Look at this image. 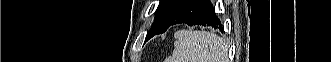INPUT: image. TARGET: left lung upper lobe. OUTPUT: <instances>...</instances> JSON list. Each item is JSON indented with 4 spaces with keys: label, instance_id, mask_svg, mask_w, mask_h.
<instances>
[{
    "label": "left lung upper lobe",
    "instance_id": "5c2ea615",
    "mask_svg": "<svg viewBox=\"0 0 331 62\" xmlns=\"http://www.w3.org/2000/svg\"><path fill=\"white\" fill-rule=\"evenodd\" d=\"M185 2L186 0H160L154 22L147 34H152L153 36L160 34L167 21Z\"/></svg>",
    "mask_w": 331,
    "mask_h": 62
}]
</instances>
